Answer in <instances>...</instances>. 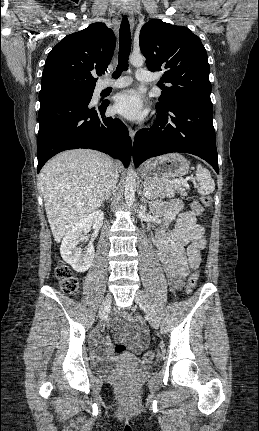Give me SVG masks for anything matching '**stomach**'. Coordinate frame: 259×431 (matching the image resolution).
Listing matches in <instances>:
<instances>
[{
    "label": "stomach",
    "mask_w": 259,
    "mask_h": 431,
    "mask_svg": "<svg viewBox=\"0 0 259 431\" xmlns=\"http://www.w3.org/2000/svg\"><path fill=\"white\" fill-rule=\"evenodd\" d=\"M189 171V162L179 153L166 154L146 163L142 170V177L146 181L171 180L182 177Z\"/></svg>",
    "instance_id": "obj_1"
}]
</instances>
